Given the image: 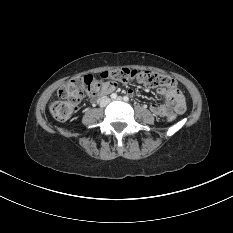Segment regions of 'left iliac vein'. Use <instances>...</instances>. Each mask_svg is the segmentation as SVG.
Here are the masks:
<instances>
[{
    "label": "left iliac vein",
    "mask_w": 233,
    "mask_h": 233,
    "mask_svg": "<svg viewBox=\"0 0 233 233\" xmlns=\"http://www.w3.org/2000/svg\"><path fill=\"white\" fill-rule=\"evenodd\" d=\"M115 100H117V101H122L123 98L119 96V97H117Z\"/></svg>",
    "instance_id": "obj_1"
}]
</instances>
